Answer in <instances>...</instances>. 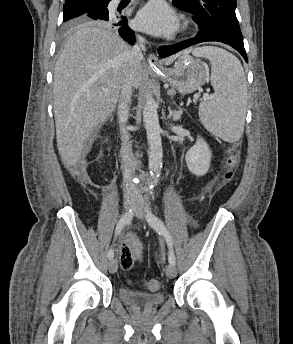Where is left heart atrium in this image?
<instances>
[{
  "instance_id": "1",
  "label": "left heart atrium",
  "mask_w": 293,
  "mask_h": 344,
  "mask_svg": "<svg viewBox=\"0 0 293 344\" xmlns=\"http://www.w3.org/2000/svg\"><path fill=\"white\" fill-rule=\"evenodd\" d=\"M135 24L142 31L165 36L175 31L177 18L162 0H153L138 13Z\"/></svg>"
}]
</instances>
